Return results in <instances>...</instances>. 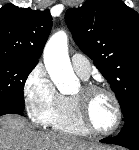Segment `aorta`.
Returning a JSON list of instances; mask_svg holds the SVG:
<instances>
[{"mask_svg": "<svg viewBox=\"0 0 139 150\" xmlns=\"http://www.w3.org/2000/svg\"><path fill=\"white\" fill-rule=\"evenodd\" d=\"M44 64L50 78L61 93L75 92L78 79L69 60L68 38L64 31H58L48 40L44 48Z\"/></svg>", "mask_w": 139, "mask_h": 150, "instance_id": "aorta-1", "label": "aorta"}]
</instances>
